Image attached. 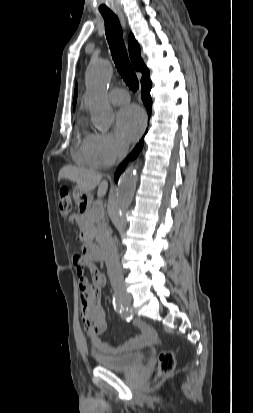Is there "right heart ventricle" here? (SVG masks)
Instances as JSON below:
<instances>
[{"label":"right heart ventricle","instance_id":"right-heart-ventricle-1","mask_svg":"<svg viewBox=\"0 0 253 413\" xmlns=\"http://www.w3.org/2000/svg\"><path fill=\"white\" fill-rule=\"evenodd\" d=\"M92 134L83 133L80 126L77 131V141L76 145L72 151L73 157L79 164L91 167L98 168L102 164L93 148L91 142Z\"/></svg>","mask_w":253,"mask_h":413}]
</instances>
